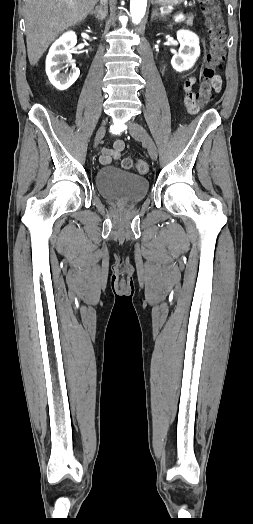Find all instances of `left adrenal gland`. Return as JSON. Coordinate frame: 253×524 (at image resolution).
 I'll return each mask as SVG.
<instances>
[{
	"label": "left adrenal gland",
	"mask_w": 253,
	"mask_h": 524,
	"mask_svg": "<svg viewBox=\"0 0 253 524\" xmlns=\"http://www.w3.org/2000/svg\"><path fill=\"white\" fill-rule=\"evenodd\" d=\"M158 16H159L158 10L156 8L153 9L152 14H151V20H153L155 17H158Z\"/></svg>",
	"instance_id": "a2214340"
}]
</instances>
